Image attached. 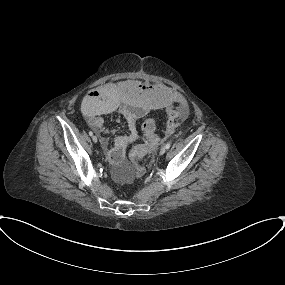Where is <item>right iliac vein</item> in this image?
<instances>
[{
  "label": "right iliac vein",
  "mask_w": 285,
  "mask_h": 285,
  "mask_svg": "<svg viewBox=\"0 0 285 285\" xmlns=\"http://www.w3.org/2000/svg\"><path fill=\"white\" fill-rule=\"evenodd\" d=\"M92 141H93L94 143H96V142L98 141L97 136L93 135V136H92Z\"/></svg>",
  "instance_id": "right-iliac-vein-1"
}]
</instances>
